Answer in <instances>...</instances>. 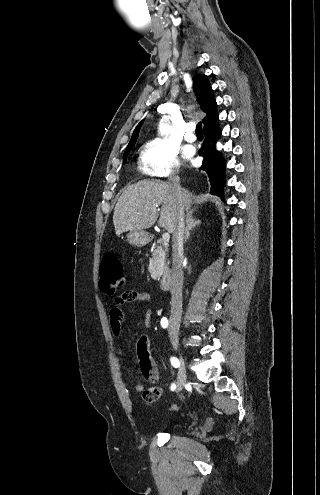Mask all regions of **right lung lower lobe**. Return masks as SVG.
<instances>
[{"instance_id":"obj_1","label":"right lung lower lobe","mask_w":320,"mask_h":495,"mask_svg":"<svg viewBox=\"0 0 320 495\" xmlns=\"http://www.w3.org/2000/svg\"><path fill=\"white\" fill-rule=\"evenodd\" d=\"M204 143L199 150V155L204 158L199 168L207 173L211 190L210 193L223 197L225 185L226 163L223 155L216 149V143L221 137L219 122L204 128Z\"/></svg>"}]
</instances>
